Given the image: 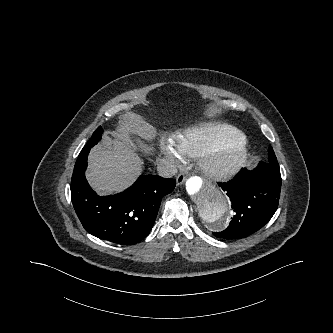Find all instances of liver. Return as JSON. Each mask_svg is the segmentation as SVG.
Returning <instances> with one entry per match:
<instances>
[{
	"label": "liver",
	"instance_id": "6515ba94",
	"mask_svg": "<svg viewBox=\"0 0 333 333\" xmlns=\"http://www.w3.org/2000/svg\"><path fill=\"white\" fill-rule=\"evenodd\" d=\"M134 121L121 123L115 131L104 133L101 144L90 151L86 178L99 194L125 190L142 172V161L135 148L149 150L144 141L146 133L139 127L146 122L140 117Z\"/></svg>",
	"mask_w": 333,
	"mask_h": 333
}]
</instances>
